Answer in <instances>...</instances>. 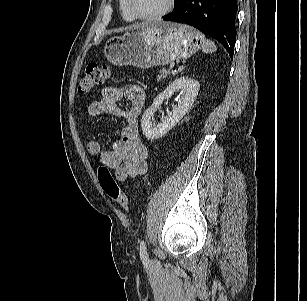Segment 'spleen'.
<instances>
[{"instance_id":"obj_1","label":"spleen","mask_w":307,"mask_h":301,"mask_svg":"<svg viewBox=\"0 0 307 301\" xmlns=\"http://www.w3.org/2000/svg\"><path fill=\"white\" fill-rule=\"evenodd\" d=\"M217 50L216 45L214 44L213 41L209 40V39H203L202 41V51L204 53H212L215 52Z\"/></svg>"}]
</instances>
